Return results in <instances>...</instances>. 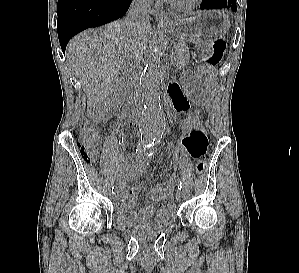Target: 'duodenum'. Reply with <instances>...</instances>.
I'll list each match as a JSON object with an SVG mask.
<instances>
[{"mask_svg":"<svg viewBox=\"0 0 299 273\" xmlns=\"http://www.w3.org/2000/svg\"><path fill=\"white\" fill-rule=\"evenodd\" d=\"M118 110L121 112L122 115L128 117L132 122H134V113L130 108V101L126 96H119L117 99ZM167 110H170L172 105L171 101L167 100L166 103Z\"/></svg>","mask_w":299,"mask_h":273,"instance_id":"obj_1","label":"duodenum"}]
</instances>
